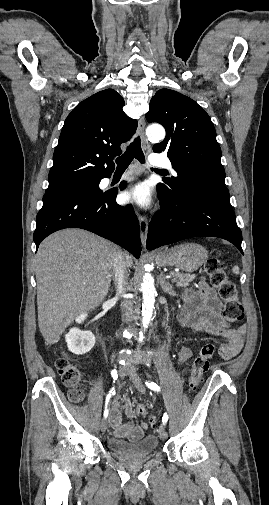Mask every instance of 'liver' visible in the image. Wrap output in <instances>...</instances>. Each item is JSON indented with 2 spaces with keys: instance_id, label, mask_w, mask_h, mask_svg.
<instances>
[{
  "instance_id": "1",
  "label": "liver",
  "mask_w": 269,
  "mask_h": 505,
  "mask_svg": "<svg viewBox=\"0 0 269 505\" xmlns=\"http://www.w3.org/2000/svg\"><path fill=\"white\" fill-rule=\"evenodd\" d=\"M118 246L81 229L47 237L35 257L38 325L55 344L80 313L99 306L108 294ZM128 267L132 257L125 253Z\"/></svg>"
}]
</instances>
